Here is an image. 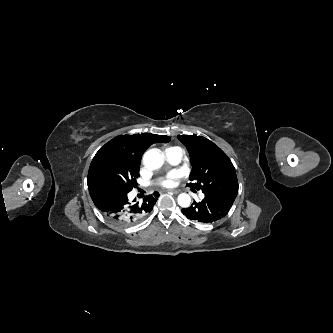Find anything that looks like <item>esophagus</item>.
Returning a JSON list of instances; mask_svg holds the SVG:
<instances>
[{"label":"esophagus","mask_w":333,"mask_h":333,"mask_svg":"<svg viewBox=\"0 0 333 333\" xmlns=\"http://www.w3.org/2000/svg\"><path fill=\"white\" fill-rule=\"evenodd\" d=\"M166 192L171 193V194H178L179 193V191L175 190V189H168V190H166Z\"/></svg>","instance_id":"34e87169"}]
</instances>
